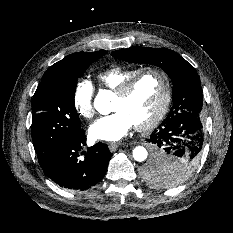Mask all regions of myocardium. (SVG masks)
<instances>
[{
  "mask_svg": "<svg viewBox=\"0 0 233 233\" xmlns=\"http://www.w3.org/2000/svg\"><path fill=\"white\" fill-rule=\"evenodd\" d=\"M146 73H156L162 78L163 97L161 104L155 114L146 122L135 125L136 130L141 132H146L156 127L168 111L172 98L171 80L168 73L160 67H144L125 80L115 91V94L119 97L127 96L137 80Z\"/></svg>",
  "mask_w": 233,
  "mask_h": 233,
  "instance_id": "1",
  "label": "myocardium"
}]
</instances>
